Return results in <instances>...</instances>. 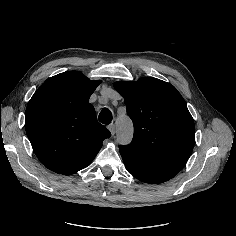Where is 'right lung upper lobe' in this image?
<instances>
[{"label":"right lung upper lobe","mask_w":236,"mask_h":236,"mask_svg":"<svg viewBox=\"0 0 236 236\" xmlns=\"http://www.w3.org/2000/svg\"><path fill=\"white\" fill-rule=\"evenodd\" d=\"M100 81L67 71L43 83L30 99L25 129L33 150L49 170L63 175L87 167L109 130L96 118L89 98Z\"/></svg>","instance_id":"1"}]
</instances>
